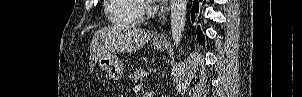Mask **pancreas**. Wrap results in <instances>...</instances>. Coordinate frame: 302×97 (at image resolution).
I'll return each mask as SVG.
<instances>
[{
    "label": "pancreas",
    "mask_w": 302,
    "mask_h": 97,
    "mask_svg": "<svg viewBox=\"0 0 302 97\" xmlns=\"http://www.w3.org/2000/svg\"><path fill=\"white\" fill-rule=\"evenodd\" d=\"M128 76L130 80H132L134 83H137L138 81L145 79V70L143 68H136Z\"/></svg>",
    "instance_id": "pancreas-1"
}]
</instances>
